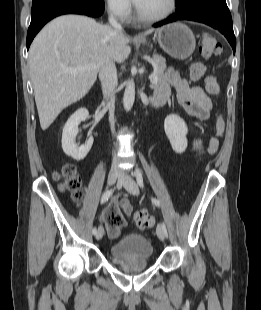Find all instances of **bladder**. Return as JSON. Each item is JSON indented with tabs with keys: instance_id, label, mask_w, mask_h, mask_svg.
Masks as SVG:
<instances>
[{
	"instance_id": "obj_1",
	"label": "bladder",
	"mask_w": 261,
	"mask_h": 310,
	"mask_svg": "<svg viewBox=\"0 0 261 310\" xmlns=\"http://www.w3.org/2000/svg\"><path fill=\"white\" fill-rule=\"evenodd\" d=\"M110 253L117 260H148L153 254V246L143 234L130 233L116 241Z\"/></svg>"
}]
</instances>
